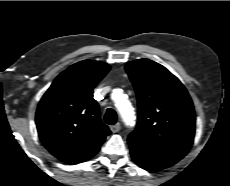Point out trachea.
<instances>
[{"mask_svg": "<svg viewBox=\"0 0 230 186\" xmlns=\"http://www.w3.org/2000/svg\"><path fill=\"white\" fill-rule=\"evenodd\" d=\"M104 121L109 125H114L117 121L116 112L111 108L107 109L104 116Z\"/></svg>", "mask_w": 230, "mask_h": 186, "instance_id": "1", "label": "trachea"}]
</instances>
